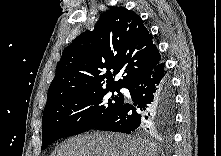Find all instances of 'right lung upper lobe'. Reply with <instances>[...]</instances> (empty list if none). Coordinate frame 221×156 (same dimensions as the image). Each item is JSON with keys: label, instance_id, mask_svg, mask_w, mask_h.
I'll return each mask as SVG.
<instances>
[{"label": "right lung upper lobe", "instance_id": "obj_1", "mask_svg": "<svg viewBox=\"0 0 221 156\" xmlns=\"http://www.w3.org/2000/svg\"><path fill=\"white\" fill-rule=\"evenodd\" d=\"M162 63L153 36L137 14L116 7L63 50L45 108L81 91L121 89ZM123 72V79L114 77Z\"/></svg>", "mask_w": 221, "mask_h": 156}]
</instances>
